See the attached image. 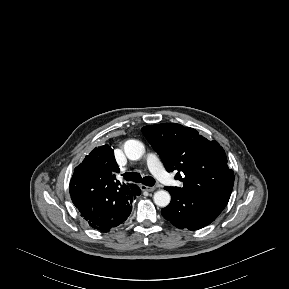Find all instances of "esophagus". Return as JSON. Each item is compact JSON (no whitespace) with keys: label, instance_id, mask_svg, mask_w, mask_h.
<instances>
[{"label":"esophagus","instance_id":"34e87169","mask_svg":"<svg viewBox=\"0 0 289 289\" xmlns=\"http://www.w3.org/2000/svg\"><path fill=\"white\" fill-rule=\"evenodd\" d=\"M141 189L147 192H153L155 190V187H149L146 185H141Z\"/></svg>","mask_w":289,"mask_h":289}]
</instances>
